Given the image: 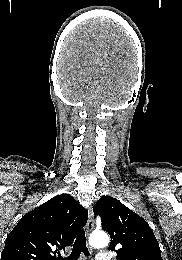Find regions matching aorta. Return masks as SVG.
Instances as JSON below:
<instances>
[{"label":"aorta","instance_id":"1","mask_svg":"<svg viewBox=\"0 0 182 260\" xmlns=\"http://www.w3.org/2000/svg\"><path fill=\"white\" fill-rule=\"evenodd\" d=\"M89 244L93 248H103L109 244V237L104 232L93 233L89 238Z\"/></svg>","mask_w":182,"mask_h":260}]
</instances>
